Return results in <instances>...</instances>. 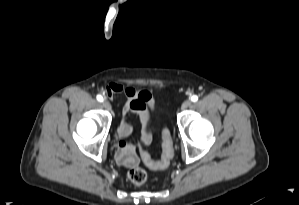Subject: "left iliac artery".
Segmentation results:
<instances>
[{
    "mask_svg": "<svg viewBox=\"0 0 299 205\" xmlns=\"http://www.w3.org/2000/svg\"><path fill=\"white\" fill-rule=\"evenodd\" d=\"M198 100V96L197 95H193L192 97H191V101L192 102H196Z\"/></svg>",
    "mask_w": 299,
    "mask_h": 205,
    "instance_id": "obj_1",
    "label": "left iliac artery"
}]
</instances>
